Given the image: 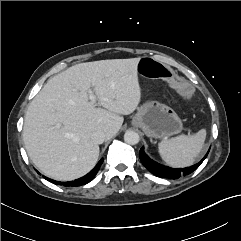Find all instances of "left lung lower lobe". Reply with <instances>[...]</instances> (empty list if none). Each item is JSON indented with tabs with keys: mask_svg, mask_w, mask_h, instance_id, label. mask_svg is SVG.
I'll use <instances>...</instances> for the list:
<instances>
[{
	"mask_svg": "<svg viewBox=\"0 0 241 241\" xmlns=\"http://www.w3.org/2000/svg\"><path fill=\"white\" fill-rule=\"evenodd\" d=\"M209 152V151H208ZM208 153L205 155V157L196 165H193L191 167L186 168H170L167 166H163L152 159H150L144 152V148L142 147L139 151V157L142 162V164L154 175L158 177H165L169 179H177L180 176H186L192 173L194 170H196L201 163L204 161V159L207 157Z\"/></svg>",
	"mask_w": 241,
	"mask_h": 241,
	"instance_id": "left-lung-lower-lobe-1",
	"label": "left lung lower lobe"
}]
</instances>
